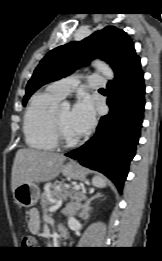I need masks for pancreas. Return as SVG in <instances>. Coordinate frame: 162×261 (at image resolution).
Listing matches in <instances>:
<instances>
[{"instance_id":"1","label":"pancreas","mask_w":162,"mask_h":261,"mask_svg":"<svg viewBox=\"0 0 162 261\" xmlns=\"http://www.w3.org/2000/svg\"><path fill=\"white\" fill-rule=\"evenodd\" d=\"M83 195L82 191H77L73 187L67 186L64 183H54V184H46L44 186V191L41 195V206L46 211L49 205H53L54 203L51 200L57 201L61 196L63 199L72 196H81Z\"/></svg>"}]
</instances>
